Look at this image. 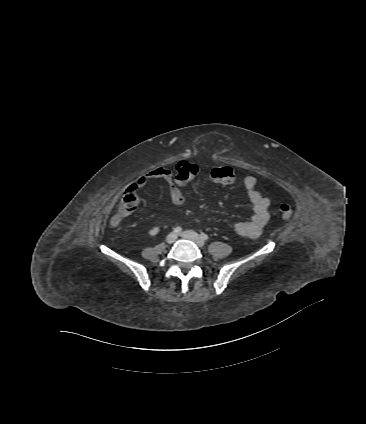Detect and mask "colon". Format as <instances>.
Segmentation results:
<instances>
[{
  "mask_svg": "<svg viewBox=\"0 0 366 424\" xmlns=\"http://www.w3.org/2000/svg\"><path fill=\"white\" fill-rule=\"evenodd\" d=\"M174 173L177 182L184 184L199 177L201 170L194 163L180 161L175 165ZM208 176L213 181L217 180L223 183H231L235 178L233 171H223L221 170V166L210 169ZM137 204L138 197L136 190L132 187L123 194L118 210L111 220L112 225H118L125 217L132 214L136 210ZM279 213L281 219L287 221L292 215V209L288 204L283 203L279 206Z\"/></svg>",
  "mask_w": 366,
  "mask_h": 424,
  "instance_id": "1",
  "label": "colon"
}]
</instances>
